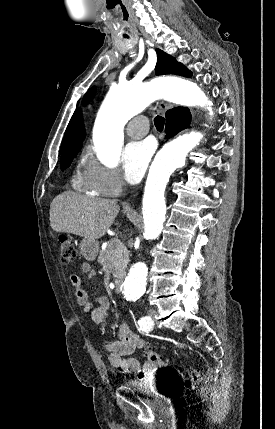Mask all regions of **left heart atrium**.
Segmentation results:
<instances>
[{
  "label": "left heart atrium",
  "instance_id": "39dd6f15",
  "mask_svg": "<svg viewBox=\"0 0 275 429\" xmlns=\"http://www.w3.org/2000/svg\"><path fill=\"white\" fill-rule=\"evenodd\" d=\"M154 152L149 140L129 143L122 156V169L126 180L135 184L141 180Z\"/></svg>",
  "mask_w": 275,
  "mask_h": 429
}]
</instances>
